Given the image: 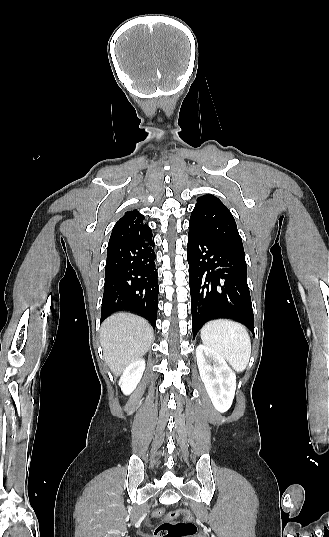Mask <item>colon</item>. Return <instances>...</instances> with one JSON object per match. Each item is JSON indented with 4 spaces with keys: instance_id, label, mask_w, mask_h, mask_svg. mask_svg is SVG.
Wrapping results in <instances>:
<instances>
[{
    "instance_id": "obj_1",
    "label": "colon",
    "mask_w": 329,
    "mask_h": 537,
    "mask_svg": "<svg viewBox=\"0 0 329 537\" xmlns=\"http://www.w3.org/2000/svg\"><path fill=\"white\" fill-rule=\"evenodd\" d=\"M153 517L167 519L156 528L155 537H194L197 533V526L193 522L192 515L186 509L172 512L165 509L155 510Z\"/></svg>"
}]
</instances>
